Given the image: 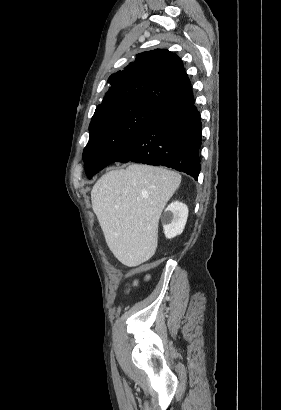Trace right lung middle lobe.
I'll list each match as a JSON object with an SVG mask.
<instances>
[{
  "label": "right lung middle lobe",
  "mask_w": 281,
  "mask_h": 410,
  "mask_svg": "<svg viewBox=\"0 0 281 410\" xmlns=\"http://www.w3.org/2000/svg\"><path fill=\"white\" fill-rule=\"evenodd\" d=\"M145 103L115 105L95 112L89 126V142L83 151L87 177L119 157L161 112Z\"/></svg>",
  "instance_id": "dd1d6c3e"
}]
</instances>
